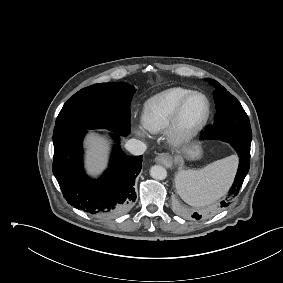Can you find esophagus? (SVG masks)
Wrapping results in <instances>:
<instances>
[{"instance_id":"obj_1","label":"esophagus","mask_w":283,"mask_h":283,"mask_svg":"<svg viewBox=\"0 0 283 283\" xmlns=\"http://www.w3.org/2000/svg\"><path fill=\"white\" fill-rule=\"evenodd\" d=\"M155 162L165 167H171L173 165V158L168 153H162L155 157Z\"/></svg>"}]
</instances>
